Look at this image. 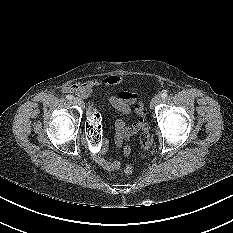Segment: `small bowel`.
<instances>
[{
	"label": "small bowel",
	"instance_id": "small-bowel-1",
	"mask_svg": "<svg viewBox=\"0 0 233 233\" xmlns=\"http://www.w3.org/2000/svg\"><path fill=\"white\" fill-rule=\"evenodd\" d=\"M121 81L122 78L120 76L110 75L103 78L90 79L82 84L69 85L65 88V90L87 99L91 96L95 87H111L118 85ZM107 99L108 102L122 114L128 115L135 113L138 116V119L129 125H127L122 119L117 120L115 124V143L117 146L123 148L122 153L124 156H127L130 153V148L125 145V142L132 134L139 130L140 123L145 117L146 110L142 103L138 101V95L133 90H121L115 95L108 96ZM93 110V103L90 102L87 116ZM100 143V151L96 154H93V158L96 163L107 171L118 169L120 167V162L105 156L108 149V141L104 138H101Z\"/></svg>",
	"mask_w": 233,
	"mask_h": 233
}]
</instances>
